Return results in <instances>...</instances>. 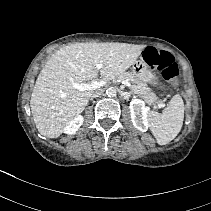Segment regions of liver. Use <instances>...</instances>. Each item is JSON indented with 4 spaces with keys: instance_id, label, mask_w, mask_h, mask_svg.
Returning a JSON list of instances; mask_svg holds the SVG:
<instances>
[{
    "instance_id": "obj_1",
    "label": "liver",
    "mask_w": 211,
    "mask_h": 211,
    "mask_svg": "<svg viewBox=\"0 0 211 211\" xmlns=\"http://www.w3.org/2000/svg\"><path fill=\"white\" fill-rule=\"evenodd\" d=\"M145 47L90 42L69 44L56 51L41 70L31 94V112L40 134L59 137L87 106L94 90L79 91L73 83H86L99 73L108 82L132 66Z\"/></svg>"
}]
</instances>
